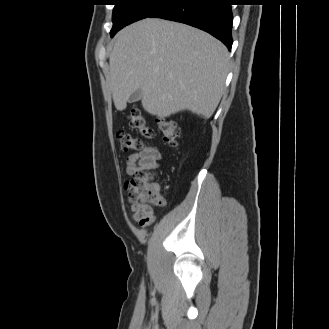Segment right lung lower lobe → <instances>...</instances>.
<instances>
[{"label":"right lung lower lobe","instance_id":"98d812e1","mask_svg":"<svg viewBox=\"0 0 329 329\" xmlns=\"http://www.w3.org/2000/svg\"><path fill=\"white\" fill-rule=\"evenodd\" d=\"M231 0H173L150 17L185 23L202 29L220 41L229 50L232 46Z\"/></svg>","mask_w":329,"mask_h":329}]
</instances>
